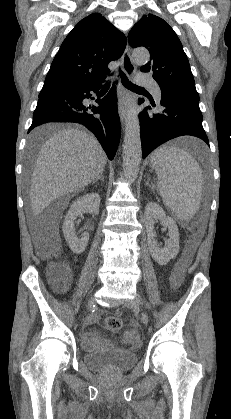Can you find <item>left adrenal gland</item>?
I'll return each mask as SVG.
<instances>
[{
  "instance_id": "a2214340",
  "label": "left adrenal gland",
  "mask_w": 231,
  "mask_h": 419,
  "mask_svg": "<svg viewBox=\"0 0 231 419\" xmlns=\"http://www.w3.org/2000/svg\"><path fill=\"white\" fill-rule=\"evenodd\" d=\"M146 186H149L153 190V186L149 183V180H147Z\"/></svg>"
}]
</instances>
